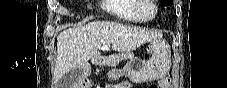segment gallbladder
I'll list each match as a JSON object with an SVG mask.
<instances>
[{
  "mask_svg": "<svg viewBox=\"0 0 227 88\" xmlns=\"http://www.w3.org/2000/svg\"><path fill=\"white\" fill-rule=\"evenodd\" d=\"M84 72L82 67L75 68L73 71L68 72L62 76V78L58 81V88H70L76 81H78Z\"/></svg>",
  "mask_w": 227,
  "mask_h": 88,
  "instance_id": "bac80fb5",
  "label": "gallbladder"
}]
</instances>
